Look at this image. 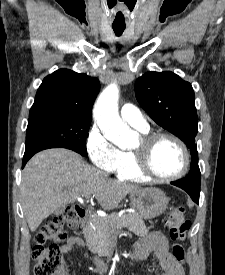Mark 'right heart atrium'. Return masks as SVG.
Here are the masks:
<instances>
[{
  "mask_svg": "<svg viewBox=\"0 0 225 275\" xmlns=\"http://www.w3.org/2000/svg\"><path fill=\"white\" fill-rule=\"evenodd\" d=\"M86 148L92 163L100 170L111 173L121 163L122 151L96 126L88 135Z\"/></svg>",
  "mask_w": 225,
  "mask_h": 275,
  "instance_id": "right-heart-atrium-1",
  "label": "right heart atrium"
}]
</instances>
